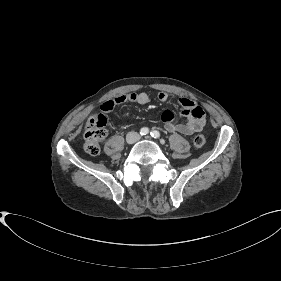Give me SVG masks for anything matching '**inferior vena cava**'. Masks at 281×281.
<instances>
[{"label": "inferior vena cava", "instance_id": "602c4592", "mask_svg": "<svg viewBox=\"0 0 281 281\" xmlns=\"http://www.w3.org/2000/svg\"><path fill=\"white\" fill-rule=\"evenodd\" d=\"M132 134L134 135L135 140L139 139V137H140V136H139V134H138V133L133 132Z\"/></svg>", "mask_w": 281, "mask_h": 281}]
</instances>
